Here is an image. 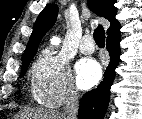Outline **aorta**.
<instances>
[{
    "instance_id": "1",
    "label": "aorta",
    "mask_w": 142,
    "mask_h": 119,
    "mask_svg": "<svg viewBox=\"0 0 142 119\" xmlns=\"http://www.w3.org/2000/svg\"><path fill=\"white\" fill-rule=\"evenodd\" d=\"M51 43H52V44H58V43H59V39H58V38H53V39L51 40Z\"/></svg>"
}]
</instances>
